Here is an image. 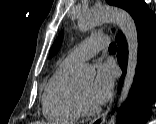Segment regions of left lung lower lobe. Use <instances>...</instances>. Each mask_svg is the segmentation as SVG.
<instances>
[{
	"label": "left lung lower lobe",
	"mask_w": 156,
	"mask_h": 124,
	"mask_svg": "<svg viewBox=\"0 0 156 124\" xmlns=\"http://www.w3.org/2000/svg\"><path fill=\"white\" fill-rule=\"evenodd\" d=\"M138 32V64L129 102L121 110V121L124 124H141L150 114V105L154 102L156 92V15L143 1L133 16ZM117 59L123 70L120 83L126 74L127 43L119 33Z\"/></svg>",
	"instance_id": "1"
}]
</instances>
